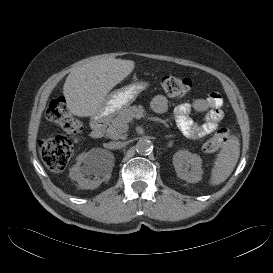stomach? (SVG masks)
Returning a JSON list of instances; mask_svg holds the SVG:
<instances>
[{
  "instance_id": "obj_1",
  "label": "stomach",
  "mask_w": 273,
  "mask_h": 273,
  "mask_svg": "<svg viewBox=\"0 0 273 273\" xmlns=\"http://www.w3.org/2000/svg\"><path fill=\"white\" fill-rule=\"evenodd\" d=\"M147 86L148 83L140 81L111 92L105 99L102 113L96 117H114L122 109L129 107Z\"/></svg>"
}]
</instances>
